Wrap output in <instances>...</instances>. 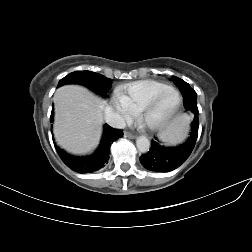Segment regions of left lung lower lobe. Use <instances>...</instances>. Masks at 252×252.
Masks as SVG:
<instances>
[{
    "label": "left lung lower lobe",
    "instance_id": "left-lung-lower-lobe-1",
    "mask_svg": "<svg viewBox=\"0 0 252 252\" xmlns=\"http://www.w3.org/2000/svg\"><path fill=\"white\" fill-rule=\"evenodd\" d=\"M178 87L183 95L184 107L194 114L189 138L176 147H165L158 139L152 140L149 151L140 157L141 164L148 170L169 172L178 168L190 156L195 146L199 128L197 95L189 84H179Z\"/></svg>",
    "mask_w": 252,
    "mask_h": 252
}]
</instances>
